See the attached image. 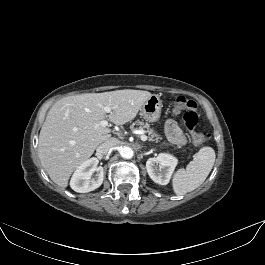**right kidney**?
<instances>
[{"mask_svg": "<svg viewBox=\"0 0 265 265\" xmlns=\"http://www.w3.org/2000/svg\"><path fill=\"white\" fill-rule=\"evenodd\" d=\"M98 162L97 158H91L77 167L70 181V186L74 191L87 193L101 186L104 172L103 168L98 166ZM93 174L94 177H92Z\"/></svg>", "mask_w": 265, "mask_h": 265, "instance_id": "1", "label": "right kidney"}]
</instances>
